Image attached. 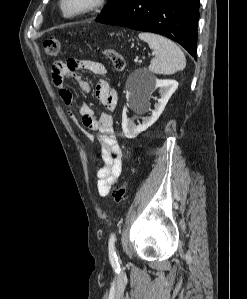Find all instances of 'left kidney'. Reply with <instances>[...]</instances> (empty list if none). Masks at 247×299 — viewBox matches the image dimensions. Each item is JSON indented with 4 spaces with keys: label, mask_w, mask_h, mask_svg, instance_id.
<instances>
[{
    "label": "left kidney",
    "mask_w": 247,
    "mask_h": 299,
    "mask_svg": "<svg viewBox=\"0 0 247 299\" xmlns=\"http://www.w3.org/2000/svg\"><path fill=\"white\" fill-rule=\"evenodd\" d=\"M177 87L178 82L175 80L155 79L154 83L144 94H141L137 91L127 92L126 98L128 105L139 113H142L147 110L151 94L158 88L161 98L158 99V103L154 105L155 109L152 111V116L149 118H144L143 123L138 126L134 124L133 120L127 117L126 111L123 112L122 129L125 137L128 139H133L141 132L148 129L151 125H153L164 111V108L168 100L175 92Z\"/></svg>",
    "instance_id": "5707ae66"
}]
</instances>
